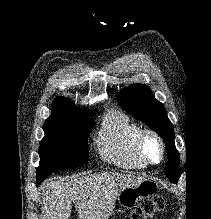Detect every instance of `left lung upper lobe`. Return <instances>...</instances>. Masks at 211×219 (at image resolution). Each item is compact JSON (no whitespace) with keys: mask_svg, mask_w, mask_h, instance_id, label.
<instances>
[{"mask_svg":"<svg viewBox=\"0 0 211 219\" xmlns=\"http://www.w3.org/2000/svg\"><path fill=\"white\" fill-rule=\"evenodd\" d=\"M119 105L135 118L156 131L166 142L168 153H178L174 144L173 125L167 117L163 104L156 100L151 90L143 84H133L117 94ZM169 180L176 183L179 178V161L166 164Z\"/></svg>","mask_w":211,"mask_h":219,"instance_id":"1","label":"left lung upper lobe"}]
</instances>
